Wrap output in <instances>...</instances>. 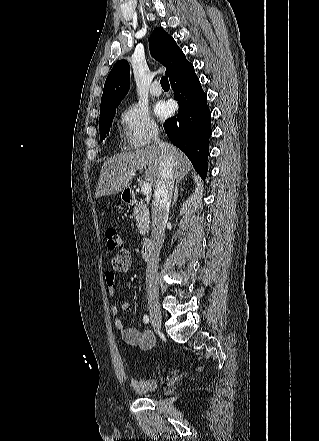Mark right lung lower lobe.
I'll list each match as a JSON object with an SVG mask.
<instances>
[{
    "label": "right lung lower lobe",
    "mask_w": 319,
    "mask_h": 441,
    "mask_svg": "<svg viewBox=\"0 0 319 441\" xmlns=\"http://www.w3.org/2000/svg\"><path fill=\"white\" fill-rule=\"evenodd\" d=\"M170 83L179 104V112L165 123V132L170 141L191 160L197 173L205 179L208 170V141L212 132L207 96L192 64L174 75Z\"/></svg>",
    "instance_id": "98d812e1"
}]
</instances>
